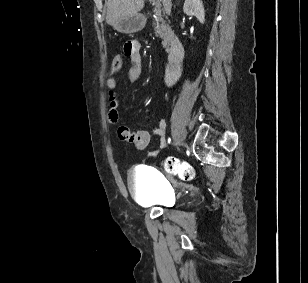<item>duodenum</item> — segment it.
Instances as JSON below:
<instances>
[{
	"label": "duodenum",
	"mask_w": 308,
	"mask_h": 283,
	"mask_svg": "<svg viewBox=\"0 0 308 283\" xmlns=\"http://www.w3.org/2000/svg\"><path fill=\"white\" fill-rule=\"evenodd\" d=\"M184 55V46L181 40L175 36L171 39L169 62L173 71H178L180 60Z\"/></svg>",
	"instance_id": "410a0bca"
}]
</instances>
